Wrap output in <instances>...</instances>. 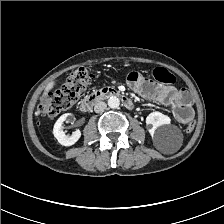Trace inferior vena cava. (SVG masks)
<instances>
[{"mask_svg": "<svg viewBox=\"0 0 224 224\" xmlns=\"http://www.w3.org/2000/svg\"><path fill=\"white\" fill-rule=\"evenodd\" d=\"M107 108V104L103 101L97 102L94 106V111L96 113H100Z\"/></svg>", "mask_w": 224, "mask_h": 224, "instance_id": "1", "label": "inferior vena cava"}]
</instances>
